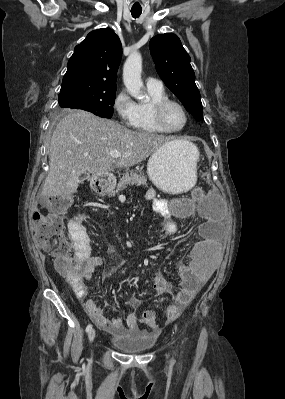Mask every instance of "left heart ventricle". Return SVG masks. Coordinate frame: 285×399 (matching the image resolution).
<instances>
[{
    "mask_svg": "<svg viewBox=\"0 0 285 399\" xmlns=\"http://www.w3.org/2000/svg\"><path fill=\"white\" fill-rule=\"evenodd\" d=\"M166 122L174 128L180 127L184 123V116L181 110L175 106L171 105L165 114Z\"/></svg>",
    "mask_w": 285,
    "mask_h": 399,
    "instance_id": "b2bd125f",
    "label": "left heart ventricle"
}]
</instances>
